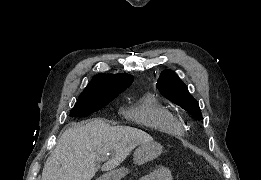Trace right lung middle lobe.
Instances as JSON below:
<instances>
[{
    "label": "right lung middle lobe",
    "mask_w": 261,
    "mask_h": 180,
    "mask_svg": "<svg viewBox=\"0 0 261 180\" xmlns=\"http://www.w3.org/2000/svg\"><path fill=\"white\" fill-rule=\"evenodd\" d=\"M117 96H81L71 110V116L83 117L96 112L106 106Z\"/></svg>",
    "instance_id": "dd1d6c3e"
}]
</instances>
